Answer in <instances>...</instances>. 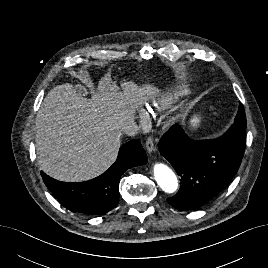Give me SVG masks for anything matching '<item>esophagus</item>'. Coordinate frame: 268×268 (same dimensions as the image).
I'll use <instances>...</instances> for the list:
<instances>
[{
  "label": "esophagus",
  "mask_w": 268,
  "mask_h": 268,
  "mask_svg": "<svg viewBox=\"0 0 268 268\" xmlns=\"http://www.w3.org/2000/svg\"><path fill=\"white\" fill-rule=\"evenodd\" d=\"M146 150L148 153H152L155 150L154 142L152 137H148L145 143Z\"/></svg>",
  "instance_id": "obj_1"
}]
</instances>
